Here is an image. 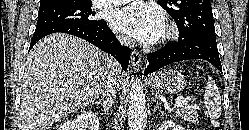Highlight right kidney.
<instances>
[{
	"label": "right kidney",
	"mask_w": 249,
	"mask_h": 130,
	"mask_svg": "<svg viewBox=\"0 0 249 130\" xmlns=\"http://www.w3.org/2000/svg\"><path fill=\"white\" fill-rule=\"evenodd\" d=\"M99 119L95 113L84 112L74 120L65 122L58 130H98Z\"/></svg>",
	"instance_id": "1"
}]
</instances>
